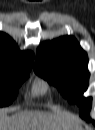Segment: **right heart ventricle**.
Listing matches in <instances>:
<instances>
[{
    "instance_id": "obj_1",
    "label": "right heart ventricle",
    "mask_w": 95,
    "mask_h": 130,
    "mask_svg": "<svg viewBox=\"0 0 95 130\" xmlns=\"http://www.w3.org/2000/svg\"><path fill=\"white\" fill-rule=\"evenodd\" d=\"M47 91V86L43 81H38L35 83L33 87V94L34 95H42L45 94Z\"/></svg>"
}]
</instances>
